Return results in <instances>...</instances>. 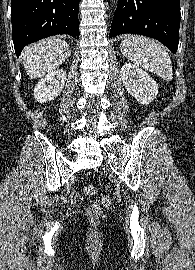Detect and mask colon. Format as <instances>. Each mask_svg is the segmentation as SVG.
Wrapping results in <instances>:
<instances>
[{
  "label": "colon",
  "instance_id": "colon-1",
  "mask_svg": "<svg viewBox=\"0 0 195 270\" xmlns=\"http://www.w3.org/2000/svg\"><path fill=\"white\" fill-rule=\"evenodd\" d=\"M84 192L86 194H94L96 192V188L94 186L89 185L84 188ZM73 198L76 199V196H74ZM111 202L112 200L108 196L102 198V204L104 206H109ZM101 212L102 208L100 206L94 205L87 210V215L90 219H97L100 216Z\"/></svg>",
  "mask_w": 195,
  "mask_h": 270
}]
</instances>
